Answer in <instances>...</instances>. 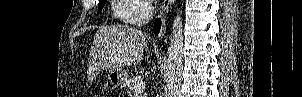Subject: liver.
Wrapping results in <instances>:
<instances>
[{"instance_id":"obj_1","label":"liver","mask_w":302,"mask_h":97,"mask_svg":"<svg viewBox=\"0 0 302 97\" xmlns=\"http://www.w3.org/2000/svg\"><path fill=\"white\" fill-rule=\"evenodd\" d=\"M148 39V34L129 26L101 28L91 46V72L137 65Z\"/></svg>"}]
</instances>
